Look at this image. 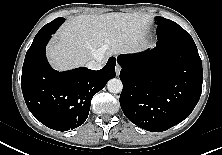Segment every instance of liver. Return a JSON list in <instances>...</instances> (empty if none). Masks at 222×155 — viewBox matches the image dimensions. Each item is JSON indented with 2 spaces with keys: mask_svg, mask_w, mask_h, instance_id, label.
Returning <instances> with one entry per match:
<instances>
[{
  "mask_svg": "<svg viewBox=\"0 0 222 155\" xmlns=\"http://www.w3.org/2000/svg\"><path fill=\"white\" fill-rule=\"evenodd\" d=\"M152 18L146 13L80 15L65 23L47 48L52 67L66 71L91 60L134 52L145 46Z\"/></svg>",
  "mask_w": 222,
  "mask_h": 155,
  "instance_id": "obj_1",
  "label": "liver"
}]
</instances>
